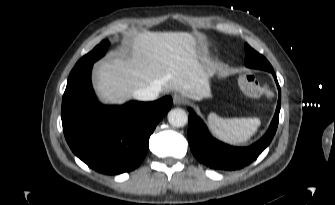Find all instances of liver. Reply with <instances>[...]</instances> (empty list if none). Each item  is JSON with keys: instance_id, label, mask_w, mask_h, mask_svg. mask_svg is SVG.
<instances>
[{"instance_id": "6515ba94", "label": "liver", "mask_w": 335, "mask_h": 205, "mask_svg": "<svg viewBox=\"0 0 335 205\" xmlns=\"http://www.w3.org/2000/svg\"><path fill=\"white\" fill-rule=\"evenodd\" d=\"M215 69L201 60L192 34L142 32L133 36L123 53L96 66L94 85L108 104H122L149 86L200 100L210 92Z\"/></svg>"}]
</instances>
